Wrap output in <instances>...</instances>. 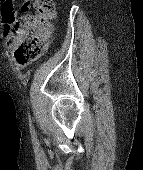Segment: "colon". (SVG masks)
Instances as JSON below:
<instances>
[{"mask_svg":"<svg viewBox=\"0 0 143 170\" xmlns=\"http://www.w3.org/2000/svg\"><path fill=\"white\" fill-rule=\"evenodd\" d=\"M3 19L22 28V36L15 56L19 62H29L41 57L48 49L52 38L51 21L56 16L53 0H34L35 14L17 20L13 0H0Z\"/></svg>","mask_w":143,"mask_h":170,"instance_id":"5ec220e1","label":"colon"}]
</instances>
